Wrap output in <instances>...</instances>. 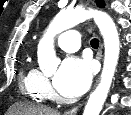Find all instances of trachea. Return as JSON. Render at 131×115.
Returning <instances> with one entry per match:
<instances>
[{
    "instance_id": "3493384b",
    "label": "trachea",
    "mask_w": 131,
    "mask_h": 115,
    "mask_svg": "<svg viewBox=\"0 0 131 115\" xmlns=\"http://www.w3.org/2000/svg\"><path fill=\"white\" fill-rule=\"evenodd\" d=\"M90 44L93 48L97 49L99 47V40L94 38L90 41Z\"/></svg>"
}]
</instances>
